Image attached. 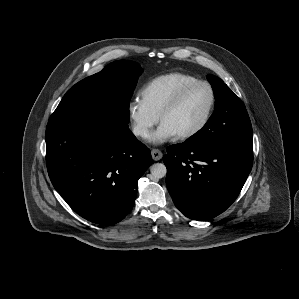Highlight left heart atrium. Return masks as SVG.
Listing matches in <instances>:
<instances>
[{
	"label": "left heart atrium",
	"instance_id": "obj_1",
	"mask_svg": "<svg viewBox=\"0 0 299 299\" xmlns=\"http://www.w3.org/2000/svg\"><path fill=\"white\" fill-rule=\"evenodd\" d=\"M177 136L176 132L168 125L161 123L158 128L151 134L150 141L155 144H161Z\"/></svg>",
	"mask_w": 299,
	"mask_h": 299
}]
</instances>
